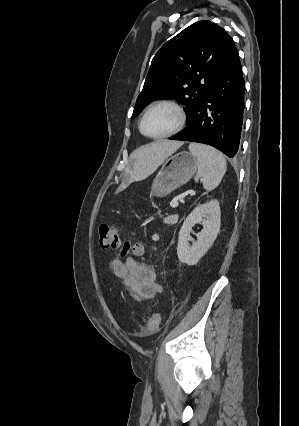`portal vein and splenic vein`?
<instances>
[{
  "mask_svg": "<svg viewBox=\"0 0 299 426\" xmlns=\"http://www.w3.org/2000/svg\"><path fill=\"white\" fill-rule=\"evenodd\" d=\"M178 200H179V198H175V199H173L172 201H171V203H170V206L171 207H177L178 206Z\"/></svg>",
  "mask_w": 299,
  "mask_h": 426,
  "instance_id": "18ae733b",
  "label": "portal vein and splenic vein"
}]
</instances>
